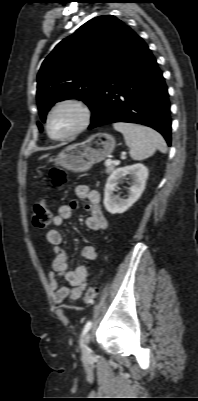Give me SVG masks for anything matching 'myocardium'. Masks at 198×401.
I'll return each mask as SVG.
<instances>
[{
  "label": "myocardium",
  "instance_id": "myocardium-1",
  "mask_svg": "<svg viewBox=\"0 0 198 401\" xmlns=\"http://www.w3.org/2000/svg\"><path fill=\"white\" fill-rule=\"evenodd\" d=\"M62 107H72L76 109L79 114H80V122L78 126L71 131L70 133L60 136V137H54L50 133V119L52 115ZM92 116H93V111L91 106L84 101L83 99L80 98H65L62 99L58 102H56L52 108L49 110L47 116H46V121H45V130L48 135V137L54 141H66L69 140L80 133H82L84 130H86L89 125L91 124L92 121Z\"/></svg>",
  "mask_w": 198,
  "mask_h": 401
}]
</instances>
